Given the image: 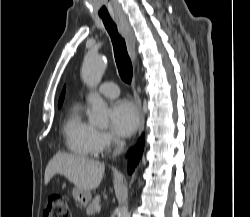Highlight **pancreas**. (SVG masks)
I'll list each match as a JSON object with an SVG mask.
<instances>
[{
  "instance_id": "1",
  "label": "pancreas",
  "mask_w": 250,
  "mask_h": 217,
  "mask_svg": "<svg viewBox=\"0 0 250 217\" xmlns=\"http://www.w3.org/2000/svg\"><path fill=\"white\" fill-rule=\"evenodd\" d=\"M100 204V199L98 197L94 198L92 200V202L88 205L87 209H86V214L87 215H92L96 212V208L99 206Z\"/></svg>"
}]
</instances>
